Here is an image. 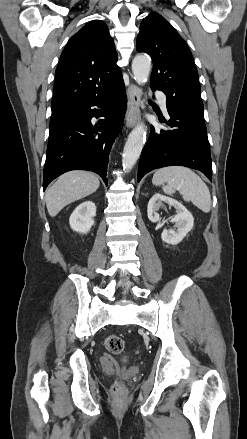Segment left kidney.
I'll return each instance as SVG.
<instances>
[{
  "label": "left kidney",
  "mask_w": 247,
  "mask_h": 439,
  "mask_svg": "<svg viewBox=\"0 0 247 439\" xmlns=\"http://www.w3.org/2000/svg\"><path fill=\"white\" fill-rule=\"evenodd\" d=\"M162 202L173 206L176 210V215L171 219V222L175 223L174 227L170 229L165 228L161 234V238L162 241L167 244L176 245L192 230L194 218L192 214L177 200L160 193H155L149 200L147 207L148 219L151 222L155 223L159 221L160 217L158 210L162 206Z\"/></svg>",
  "instance_id": "1"
}]
</instances>
